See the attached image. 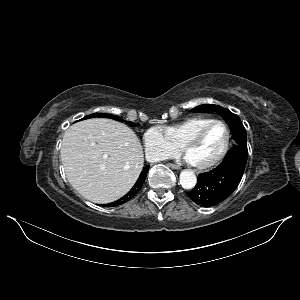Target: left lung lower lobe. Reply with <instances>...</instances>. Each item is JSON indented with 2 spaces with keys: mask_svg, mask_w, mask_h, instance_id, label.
<instances>
[{
  "mask_svg": "<svg viewBox=\"0 0 300 300\" xmlns=\"http://www.w3.org/2000/svg\"><path fill=\"white\" fill-rule=\"evenodd\" d=\"M248 157L246 146L235 145L219 166L198 175V181L187 195L198 205L210 207L227 199L237 188Z\"/></svg>",
  "mask_w": 300,
  "mask_h": 300,
  "instance_id": "obj_1",
  "label": "left lung lower lobe"
}]
</instances>
